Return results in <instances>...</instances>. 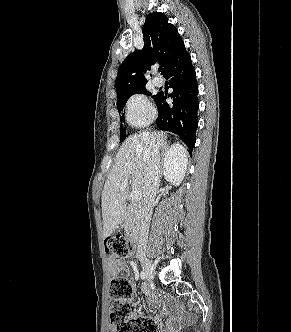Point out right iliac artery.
I'll use <instances>...</instances> for the list:
<instances>
[{"label":"right iliac artery","instance_id":"1","mask_svg":"<svg viewBox=\"0 0 291 332\" xmlns=\"http://www.w3.org/2000/svg\"><path fill=\"white\" fill-rule=\"evenodd\" d=\"M140 277H141V279H145L146 278V274L143 272V271H141V273H140Z\"/></svg>","mask_w":291,"mask_h":332}]
</instances>
